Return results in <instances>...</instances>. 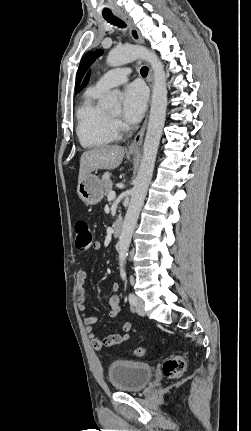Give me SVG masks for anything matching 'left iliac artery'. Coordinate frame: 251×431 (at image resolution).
Listing matches in <instances>:
<instances>
[{"label":"left iliac artery","mask_w":251,"mask_h":431,"mask_svg":"<svg viewBox=\"0 0 251 431\" xmlns=\"http://www.w3.org/2000/svg\"><path fill=\"white\" fill-rule=\"evenodd\" d=\"M120 273H121L122 279L126 280V272H125L124 268H121ZM128 298H129L130 305L134 306L135 303H136L135 295L133 293H129V297Z\"/></svg>","instance_id":"obj_1"}]
</instances>
